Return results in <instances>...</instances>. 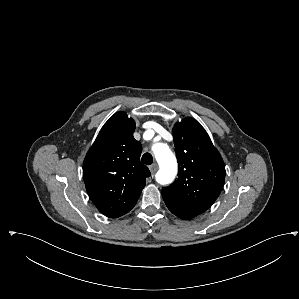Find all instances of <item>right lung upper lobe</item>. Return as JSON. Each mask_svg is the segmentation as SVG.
Returning <instances> with one entry per match:
<instances>
[{
  "instance_id": "cb5924a9",
  "label": "right lung upper lobe",
  "mask_w": 299,
  "mask_h": 299,
  "mask_svg": "<svg viewBox=\"0 0 299 299\" xmlns=\"http://www.w3.org/2000/svg\"><path fill=\"white\" fill-rule=\"evenodd\" d=\"M135 122L119 111L102 127L83 163L89 197L110 218L120 217L136 204L149 169L140 162L142 147L133 137Z\"/></svg>"
}]
</instances>
